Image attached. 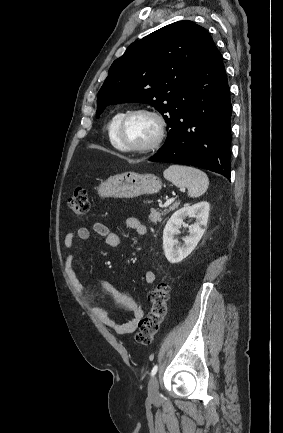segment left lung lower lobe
<instances>
[{"instance_id":"obj_1","label":"left lung lower lobe","mask_w":283,"mask_h":433,"mask_svg":"<svg viewBox=\"0 0 283 433\" xmlns=\"http://www.w3.org/2000/svg\"><path fill=\"white\" fill-rule=\"evenodd\" d=\"M190 106L169 124L150 161L191 165L230 179L231 100L220 52L214 46L190 86Z\"/></svg>"}]
</instances>
